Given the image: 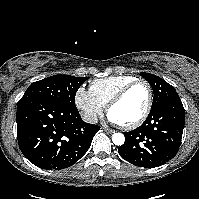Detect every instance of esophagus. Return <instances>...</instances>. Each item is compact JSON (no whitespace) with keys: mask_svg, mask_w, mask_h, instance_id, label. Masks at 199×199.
<instances>
[{"mask_svg":"<svg viewBox=\"0 0 199 199\" xmlns=\"http://www.w3.org/2000/svg\"><path fill=\"white\" fill-rule=\"evenodd\" d=\"M103 129L109 133H114L115 131L113 129L107 128V127H103Z\"/></svg>","mask_w":199,"mask_h":199,"instance_id":"1","label":"esophagus"}]
</instances>
